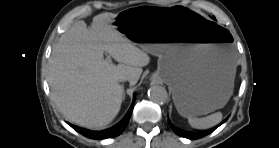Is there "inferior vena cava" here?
<instances>
[{"instance_id": "obj_1", "label": "inferior vena cava", "mask_w": 279, "mask_h": 148, "mask_svg": "<svg viewBox=\"0 0 279 148\" xmlns=\"http://www.w3.org/2000/svg\"><path fill=\"white\" fill-rule=\"evenodd\" d=\"M128 80V78L126 77V76H120L119 77V81L121 82V81H127Z\"/></svg>"}]
</instances>
